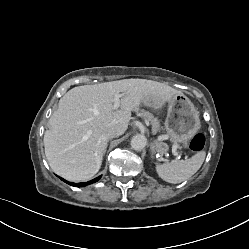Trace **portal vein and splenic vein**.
<instances>
[{
	"label": "portal vein and splenic vein",
	"instance_id": "18ae733b",
	"mask_svg": "<svg viewBox=\"0 0 249 249\" xmlns=\"http://www.w3.org/2000/svg\"><path fill=\"white\" fill-rule=\"evenodd\" d=\"M120 97H121L120 94L115 95V97H114V105H113L114 109H117V108L120 107V99H119ZM172 150H173L174 155H176V156L179 155L178 152H177V147L176 146H173Z\"/></svg>",
	"mask_w": 249,
	"mask_h": 249
}]
</instances>
